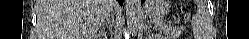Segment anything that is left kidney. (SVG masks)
<instances>
[{"mask_svg":"<svg viewBox=\"0 0 249 39\" xmlns=\"http://www.w3.org/2000/svg\"><path fill=\"white\" fill-rule=\"evenodd\" d=\"M155 39H163L160 35H155Z\"/></svg>","mask_w":249,"mask_h":39,"instance_id":"1","label":"left kidney"}]
</instances>
